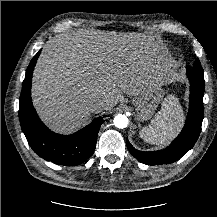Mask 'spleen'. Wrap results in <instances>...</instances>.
<instances>
[{
  "mask_svg": "<svg viewBox=\"0 0 217 217\" xmlns=\"http://www.w3.org/2000/svg\"><path fill=\"white\" fill-rule=\"evenodd\" d=\"M183 119L181 106L173 97H168L151 123L140 130V136L148 143L164 144L175 136Z\"/></svg>",
  "mask_w": 217,
  "mask_h": 217,
  "instance_id": "obj_1",
  "label": "spleen"
}]
</instances>
